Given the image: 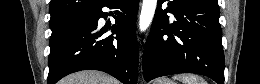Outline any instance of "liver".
Wrapping results in <instances>:
<instances>
[{
  "instance_id": "liver-1",
  "label": "liver",
  "mask_w": 260,
  "mask_h": 84,
  "mask_svg": "<svg viewBox=\"0 0 260 84\" xmlns=\"http://www.w3.org/2000/svg\"><path fill=\"white\" fill-rule=\"evenodd\" d=\"M61 84H119V82L105 73L86 70L65 77Z\"/></svg>"
}]
</instances>
